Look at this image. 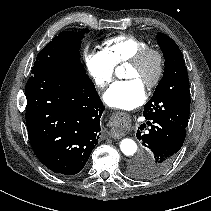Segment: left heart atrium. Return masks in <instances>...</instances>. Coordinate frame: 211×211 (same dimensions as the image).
I'll return each mask as SVG.
<instances>
[{"label": "left heart atrium", "instance_id": "obj_1", "mask_svg": "<svg viewBox=\"0 0 211 211\" xmlns=\"http://www.w3.org/2000/svg\"><path fill=\"white\" fill-rule=\"evenodd\" d=\"M145 97L144 84L136 78L116 81L103 96L107 105L122 110H131L139 106Z\"/></svg>", "mask_w": 211, "mask_h": 211}]
</instances>
